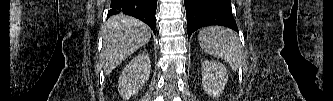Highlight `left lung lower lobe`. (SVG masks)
Here are the masks:
<instances>
[{
  "instance_id": "1",
  "label": "left lung lower lobe",
  "mask_w": 333,
  "mask_h": 101,
  "mask_svg": "<svg viewBox=\"0 0 333 101\" xmlns=\"http://www.w3.org/2000/svg\"><path fill=\"white\" fill-rule=\"evenodd\" d=\"M184 4L188 39L195 30L209 25H222L238 32L231 0H184Z\"/></svg>"
}]
</instances>
